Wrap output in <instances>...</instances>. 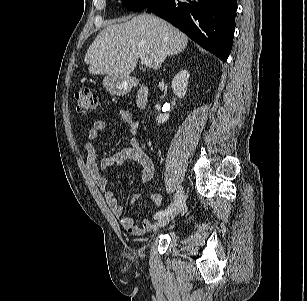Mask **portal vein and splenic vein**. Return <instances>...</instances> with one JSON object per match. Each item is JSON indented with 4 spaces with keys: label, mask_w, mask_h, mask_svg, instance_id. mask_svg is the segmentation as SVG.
<instances>
[{
    "label": "portal vein and splenic vein",
    "mask_w": 307,
    "mask_h": 301,
    "mask_svg": "<svg viewBox=\"0 0 307 301\" xmlns=\"http://www.w3.org/2000/svg\"><path fill=\"white\" fill-rule=\"evenodd\" d=\"M140 59L142 61V63L147 66V67H150L153 63V60L151 57L149 56H145V55H140Z\"/></svg>",
    "instance_id": "obj_1"
}]
</instances>
